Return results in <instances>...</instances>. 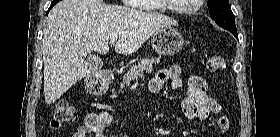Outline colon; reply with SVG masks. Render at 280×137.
I'll use <instances>...</instances> for the list:
<instances>
[{
    "mask_svg": "<svg viewBox=\"0 0 280 137\" xmlns=\"http://www.w3.org/2000/svg\"><path fill=\"white\" fill-rule=\"evenodd\" d=\"M207 70L210 73H218L225 69L226 60L222 54H212L207 60ZM73 116V109L64 99H59L54 106V113L51 120V126L58 129L68 123ZM90 124H95V119L92 117L89 121ZM230 125H222L219 127L222 133L229 129Z\"/></svg>",
    "mask_w": 280,
    "mask_h": 137,
    "instance_id": "1",
    "label": "colon"
}]
</instances>
